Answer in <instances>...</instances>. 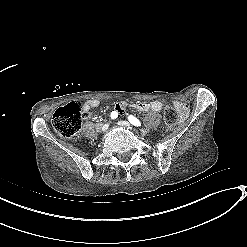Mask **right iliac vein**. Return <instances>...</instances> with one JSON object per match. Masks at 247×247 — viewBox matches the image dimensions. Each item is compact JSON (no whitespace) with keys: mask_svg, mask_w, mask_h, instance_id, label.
Wrapping results in <instances>:
<instances>
[{"mask_svg":"<svg viewBox=\"0 0 247 247\" xmlns=\"http://www.w3.org/2000/svg\"><path fill=\"white\" fill-rule=\"evenodd\" d=\"M108 128H109V124H104V125L102 126V131H103V132H106V131L108 130Z\"/></svg>","mask_w":247,"mask_h":247,"instance_id":"right-iliac-vein-1","label":"right iliac vein"}]
</instances>
